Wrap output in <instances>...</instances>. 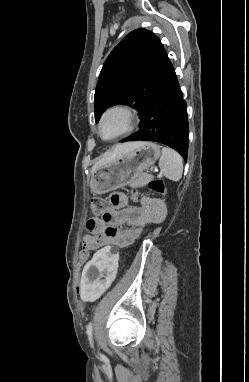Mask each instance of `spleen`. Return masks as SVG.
<instances>
[{
    "label": "spleen",
    "instance_id": "obj_1",
    "mask_svg": "<svg viewBox=\"0 0 249 382\" xmlns=\"http://www.w3.org/2000/svg\"><path fill=\"white\" fill-rule=\"evenodd\" d=\"M161 173L172 181H179L183 173L182 157L168 147H163L159 159Z\"/></svg>",
    "mask_w": 249,
    "mask_h": 382
}]
</instances>
